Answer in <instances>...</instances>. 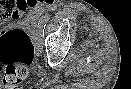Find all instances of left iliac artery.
Listing matches in <instances>:
<instances>
[{"mask_svg":"<svg viewBox=\"0 0 131 89\" xmlns=\"http://www.w3.org/2000/svg\"><path fill=\"white\" fill-rule=\"evenodd\" d=\"M47 21H48L47 17H44L43 19H41V21H39L40 24L38 25L45 28Z\"/></svg>","mask_w":131,"mask_h":89,"instance_id":"44dca946","label":"left iliac artery"}]
</instances>
